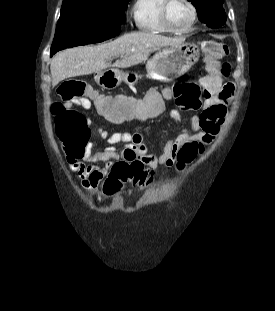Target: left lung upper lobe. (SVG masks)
Segmentation results:
<instances>
[{
  "mask_svg": "<svg viewBox=\"0 0 275 311\" xmlns=\"http://www.w3.org/2000/svg\"><path fill=\"white\" fill-rule=\"evenodd\" d=\"M195 8L199 19L210 28H218L226 22L223 0H188Z\"/></svg>",
  "mask_w": 275,
  "mask_h": 311,
  "instance_id": "left-lung-upper-lobe-1",
  "label": "left lung upper lobe"
}]
</instances>
